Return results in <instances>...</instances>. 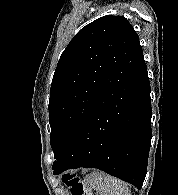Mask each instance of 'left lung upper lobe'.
Masks as SVG:
<instances>
[{"mask_svg": "<svg viewBox=\"0 0 178 195\" xmlns=\"http://www.w3.org/2000/svg\"><path fill=\"white\" fill-rule=\"evenodd\" d=\"M144 63L139 36L122 16L98 18L74 36L58 61L50 90L54 164L93 113Z\"/></svg>", "mask_w": 178, "mask_h": 195, "instance_id": "1", "label": "left lung upper lobe"}]
</instances>
